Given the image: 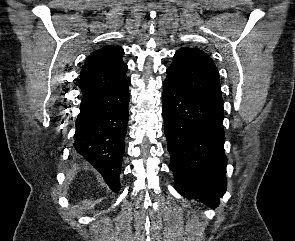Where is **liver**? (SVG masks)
<instances>
[{"mask_svg":"<svg viewBox=\"0 0 295 241\" xmlns=\"http://www.w3.org/2000/svg\"><path fill=\"white\" fill-rule=\"evenodd\" d=\"M75 170H76V166L74 167V170H73V171H72V170L69 171V173L67 174V179H68V180H70V181L72 180V173H73Z\"/></svg>","mask_w":295,"mask_h":241,"instance_id":"6515ba94","label":"liver"}]
</instances>
